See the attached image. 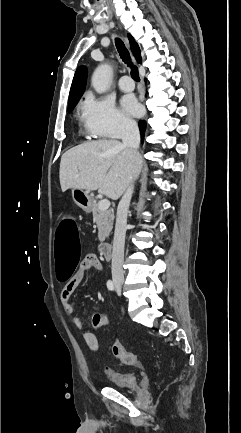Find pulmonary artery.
<instances>
[{
    "label": "pulmonary artery",
    "mask_w": 241,
    "mask_h": 433,
    "mask_svg": "<svg viewBox=\"0 0 241 433\" xmlns=\"http://www.w3.org/2000/svg\"><path fill=\"white\" fill-rule=\"evenodd\" d=\"M118 85H119L120 89L122 91H125V92H129V91H132L134 89L133 81L131 80V78L129 76H126V75L122 76L119 79Z\"/></svg>",
    "instance_id": "pulmonary-artery-1"
}]
</instances>
